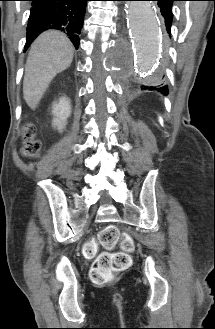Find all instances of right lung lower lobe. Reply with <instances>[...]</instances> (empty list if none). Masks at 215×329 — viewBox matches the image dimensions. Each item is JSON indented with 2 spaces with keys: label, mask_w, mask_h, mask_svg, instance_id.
<instances>
[{
  "label": "right lung lower lobe",
  "mask_w": 215,
  "mask_h": 329,
  "mask_svg": "<svg viewBox=\"0 0 215 329\" xmlns=\"http://www.w3.org/2000/svg\"><path fill=\"white\" fill-rule=\"evenodd\" d=\"M30 1L32 8L28 20L25 50L40 33L48 29L64 31L78 48L88 0Z\"/></svg>",
  "instance_id": "98d812e1"
}]
</instances>
